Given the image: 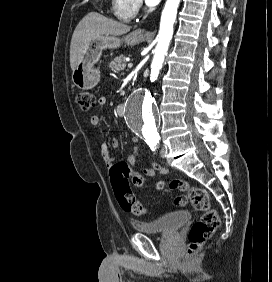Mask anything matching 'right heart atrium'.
I'll list each match as a JSON object with an SVG mask.
<instances>
[{
    "instance_id": "right-heart-atrium-1",
    "label": "right heart atrium",
    "mask_w": 272,
    "mask_h": 282,
    "mask_svg": "<svg viewBox=\"0 0 272 282\" xmlns=\"http://www.w3.org/2000/svg\"><path fill=\"white\" fill-rule=\"evenodd\" d=\"M130 1H132L131 3V9L132 10H137L138 9V7H139V2H138V0H130Z\"/></svg>"
}]
</instances>
